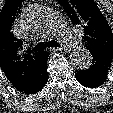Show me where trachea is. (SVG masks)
<instances>
[{
    "mask_svg": "<svg viewBox=\"0 0 113 113\" xmlns=\"http://www.w3.org/2000/svg\"><path fill=\"white\" fill-rule=\"evenodd\" d=\"M59 46L60 44L57 43L56 41L40 42L33 48V51L39 52L44 50L46 47H59Z\"/></svg>",
    "mask_w": 113,
    "mask_h": 113,
    "instance_id": "3493384b",
    "label": "trachea"
}]
</instances>
